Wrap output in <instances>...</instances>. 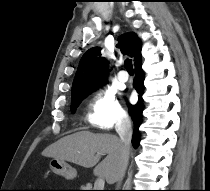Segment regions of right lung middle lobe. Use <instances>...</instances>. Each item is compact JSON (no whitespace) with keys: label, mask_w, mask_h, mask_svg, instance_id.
I'll return each mask as SVG.
<instances>
[{"label":"right lung middle lobe","mask_w":210,"mask_h":191,"mask_svg":"<svg viewBox=\"0 0 210 191\" xmlns=\"http://www.w3.org/2000/svg\"><path fill=\"white\" fill-rule=\"evenodd\" d=\"M90 93H92V91L72 99V105H71L72 112H75V109L79 106V104L82 102V100L85 97H87Z\"/></svg>","instance_id":"1"}]
</instances>
